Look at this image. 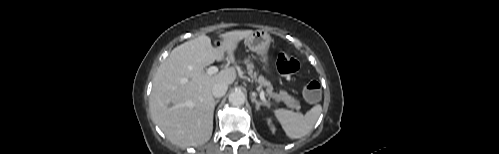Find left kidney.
I'll list each match as a JSON object with an SVG mask.
<instances>
[{
    "instance_id": "obj_1",
    "label": "left kidney",
    "mask_w": 499,
    "mask_h": 154,
    "mask_svg": "<svg viewBox=\"0 0 499 154\" xmlns=\"http://www.w3.org/2000/svg\"><path fill=\"white\" fill-rule=\"evenodd\" d=\"M267 123L270 126L271 131L274 133L276 131L275 126L272 124L271 119H267Z\"/></svg>"
}]
</instances>
